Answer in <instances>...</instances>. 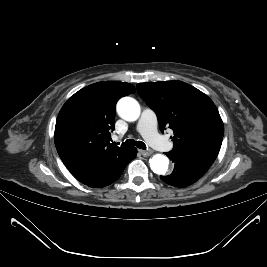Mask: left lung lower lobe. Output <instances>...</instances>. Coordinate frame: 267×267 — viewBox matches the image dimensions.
I'll list each match as a JSON object with an SVG mask.
<instances>
[{
  "label": "left lung lower lobe",
  "mask_w": 267,
  "mask_h": 267,
  "mask_svg": "<svg viewBox=\"0 0 267 267\" xmlns=\"http://www.w3.org/2000/svg\"><path fill=\"white\" fill-rule=\"evenodd\" d=\"M175 164L173 172L168 176H160L165 183L176 186L186 187L200 179L211 166L210 164L183 156L182 154L170 151L165 153Z\"/></svg>",
  "instance_id": "1"
}]
</instances>
